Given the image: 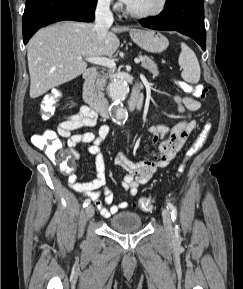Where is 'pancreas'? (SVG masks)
<instances>
[{"mask_svg":"<svg viewBox=\"0 0 243 289\" xmlns=\"http://www.w3.org/2000/svg\"><path fill=\"white\" fill-rule=\"evenodd\" d=\"M141 66L143 68L147 69L153 75H155V76L159 75L158 67H157L156 63L150 57L143 56ZM108 72H109V74L113 73L112 70H109ZM106 79H107V76L105 75L103 78H97L93 82V90H94V93H95V96L97 99L101 100L104 98L103 91H104V87L106 84Z\"/></svg>","mask_w":243,"mask_h":289,"instance_id":"obj_1","label":"pancreas"}]
</instances>
